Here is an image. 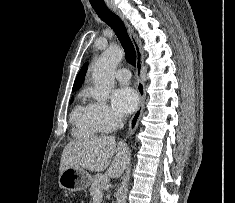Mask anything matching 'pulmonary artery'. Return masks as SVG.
<instances>
[{
    "label": "pulmonary artery",
    "mask_w": 235,
    "mask_h": 203,
    "mask_svg": "<svg viewBox=\"0 0 235 203\" xmlns=\"http://www.w3.org/2000/svg\"><path fill=\"white\" fill-rule=\"evenodd\" d=\"M115 78L123 83H126L131 78V73L127 68H120L115 72Z\"/></svg>",
    "instance_id": "1"
}]
</instances>
